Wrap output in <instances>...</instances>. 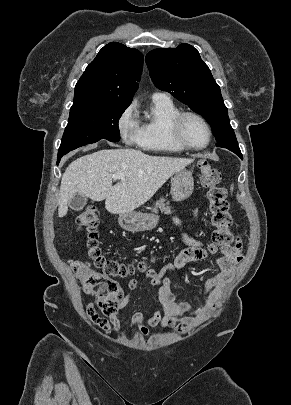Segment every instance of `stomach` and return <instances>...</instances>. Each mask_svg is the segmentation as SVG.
Here are the masks:
<instances>
[{"instance_id":"obj_1","label":"stomach","mask_w":291,"mask_h":405,"mask_svg":"<svg viewBox=\"0 0 291 405\" xmlns=\"http://www.w3.org/2000/svg\"><path fill=\"white\" fill-rule=\"evenodd\" d=\"M194 190L192 173L182 169L172 178L171 195L174 201H183L189 198ZM159 216L156 214L137 211L125 212L119 215L120 226L131 232L151 230L156 227Z\"/></svg>"}]
</instances>
